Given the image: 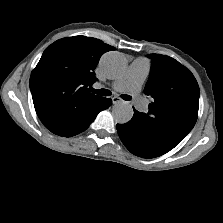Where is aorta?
I'll use <instances>...</instances> for the list:
<instances>
[{"label": "aorta", "instance_id": "obj_1", "mask_svg": "<svg viewBox=\"0 0 223 223\" xmlns=\"http://www.w3.org/2000/svg\"><path fill=\"white\" fill-rule=\"evenodd\" d=\"M103 72L110 78L117 77L125 69L124 59L116 53L105 54L99 63ZM133 108L127 102L116 103L112 108V116L115 122L125 124L133 117Z\"/></svg>", "mask_w": 223, "mask_h": 223}]
</instances>
